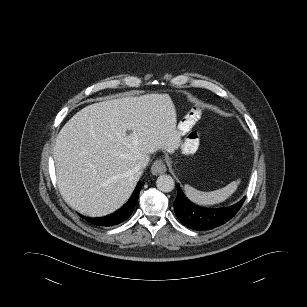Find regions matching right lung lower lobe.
Returning a JSON list of instances; mask_svg holds the SVG:
<instances>
[{
  "label": "right lung lower lobe",
  "instance_id": "1",
  "mask_svg": "<svg viewBox=\"0 0 307 307\" xmlns=\"http://www.w3.org/2000/svg\"><path fill=\"white\" fill-rule=\"evenodd\" d=\"M142 187V182H138L131 198L129 199V201L118 211H116L115 213L106 216V217H102V218H88L86 217V220L95 225V226H100V227H110V226H114V225H118L119 223H122L123 221L127 220L130 215L132 214L134 207L137 203L138 197H139V193ZM82 218H84V216L80 215Z\"/></svg>",
  "mask_w": 307,
  "mask_h": 307
}]
</instances>
